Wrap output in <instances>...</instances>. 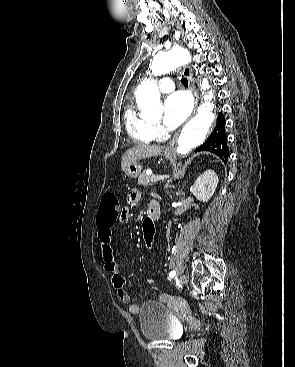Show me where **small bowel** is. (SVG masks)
Returning <instances> with one entry per match:
<instances>
[{
    "mask_svg": "<svg viewBox=\"0 0 295 367\" xmlns=\"http://www.w3.org/2000/svg\"><path fill=\"white\" fill-rule=\"evenodd\" d=\"M127 199L130 203H136L139 200V192L137 190H131L128 194ZM129 214V208H122L118 218L119 223H127ZM113 225L114 222L104 224L97 221L98 238L101 245V259L104 265V269L111 274V283L116 291L118 299L122 303L128 304L129 311L135 314L139 312L140 307L137 304L130 303V295L124 287V277L120 274L114 258V249L112 245V238L114 235Z\"/></svg>",
    "mask_w": 295,
    "mask_h": 367,
    "instance_id": "obj_1",
    "label": "small bowel"
}]
</instances>
